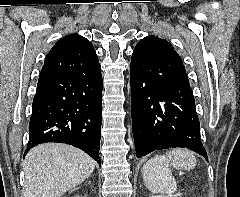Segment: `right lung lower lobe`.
I'll return each instance as SVG.
<instances>
[{"label": "right lung lower lobe", "mask_w": 240, "mask_h": 197, "mask_svg": "<svg viewBox=\"0 0 240 197\" xmlns=\"http://www.w3.org/2000/svg\"><path fill=\"white\" fill-rule=\"evenodd\" d=\"M101 120L100 68L80 75L39 79L25 154L38 144L60 142L83 150L100 164Z\"/></svg>", "instance_id": "right-lung-lower-lobe-1"}]
</instances>
